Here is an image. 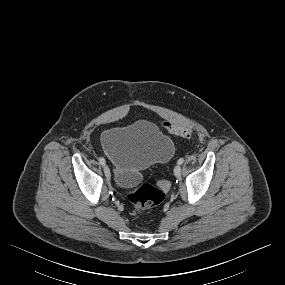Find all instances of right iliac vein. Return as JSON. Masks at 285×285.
<instances>
[{
    "label": "right iliac vein",
    "instance_id": "obj_1",
    "mask_svg": "<svg viewBox=\"0 0 285 285\" xmlns=\"http://www.w3.org/2000/svg\"><path fill=\"white\" fill-rule=\"evenodd\" d=\"M104 173L106 175V177H110V169L107 165L104 166Z\"/></svg>",
    "mask_w": 285,
    "mask_h": 285
}]
</instances>
